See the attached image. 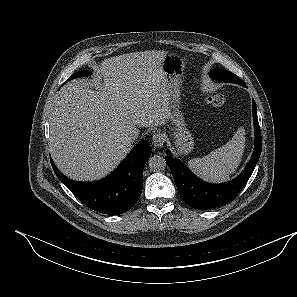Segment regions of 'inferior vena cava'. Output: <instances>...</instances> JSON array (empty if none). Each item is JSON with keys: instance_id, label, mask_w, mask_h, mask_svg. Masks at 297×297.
I'll return each instance as SVG.
<instances>
[{"instance_id": "obj_1", "label": "inferior vena cava", "mask_w": 297, "mask_h": 297, "mask_svg": "<svg viewBox=\"0 0 297 297\" xmlns=\"http://www.w3.org/2000/svg\"><path fill=\"white\" fill-rule=\"evenodd\" d=\"M140 135V130L136 127H129L125 132V140L134 142Z\"/></svg>"}]
</instances>
